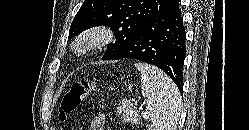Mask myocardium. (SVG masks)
<instances>
[{
    "mask_svg": "<svg viewBox=\"0 0 249 130\" xmlns=\"http://www.w3.org/2000/svg\"><path fill=\"white\" fill-rule=\"evenodd\" d=\"M115 38L112 27L104 24L91 26L78 34L70 44L71 52L78 56H86L109 45Z\"/></svg>",
    "mask_w": 249,
    "mask_h": 130,
    "instance_id": "1",
    "label": "myocardium"
}]
</instances>
